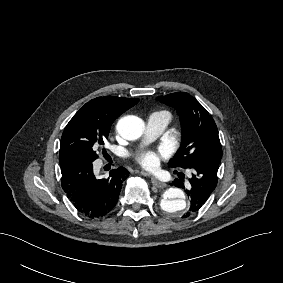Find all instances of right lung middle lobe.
<instances>
[{
    "mask_svg": "<svg viewBox=\"0 0 283 283\" xmlns=\"http://www.w3.org/2000/svg\"><path fill=\"white\" fill-rule=\"evenodd\" d=\"M112 123L113 120L105 113L83 106L64 129L60 142V163L76 158L96 160V150L108 138Z\"/></svg>",
    "mask_w": 283,
    "mask_h": 283,
    "instance_id": "obj_1",
    "label": "right lung middle lobe"
}]
</instances>
